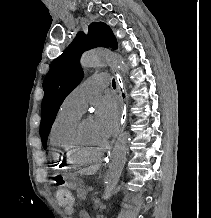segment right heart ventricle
I'll use <instances>...</instances> for the list:
<instances>
[{
  "label": "right heart ventricle",
  "mask_w": 211,
  "mask_h": 218,
  "mask_svg": "<svg viewBox=\"0 0 211 218\" xmlns=\"http://www.w3.org/2000/svg\"><path fill=\"white\" fill-rule=\"evenodd\" d=\"M81 113L64 105L58 110L51 128L50 157L55 169H81V164L95 161L94 158L78 156L72 148V133Z\"/></svg>",
  "instance_id": "e07e8e85"
}]
</instances>
